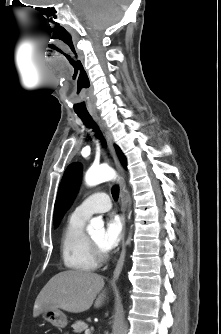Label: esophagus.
Listing matches in <instances>:
<instances>
[{
    "mask_svg": "<svg viewBox=\"0 0 221 334\" xmlns=\"http://www.w3.org/2000/svg\"><path fill=\"white\" fill-rule=\"evenodd\" d=\"M96 119H97L100 127L105 132V136H106V139H107V142H108L109 149H110L111 154L114 158L116 168H117V170L120 174V202H121V222H122V225H123V235H122V250H121V253H120V257L117 261V265L115 267V270L113 272V277H112V281H111V283H115L117 281V279L119 278V275H120V273L122 271V268H123V264H124V260H125V254H126V246H127V242H126V239H125V233H126V224H125L126 203H125V195H124V193H125L124 172H123L122 165H121V163H120V161L117 157L111 135L106 130L102 121L97 116H96Z\"/></svg>",
    "mask_w": 221,
    "mask_h": 334,
    "instance_id": "34e87169",
    "label": "esophagus"
}]
</instances>
